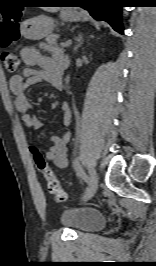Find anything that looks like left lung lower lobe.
Masks as SVG:
<instances>
[{"label": "left lung lower lobe", "mask_w": 156, "mask_h": 266, "mask_svg": "<svg viewBox=\"0 0 156 266\" xmlns=\"http://www.w3.org/2000/svg\"><path fill=\"white\" fill-rule=\"evenodd\" d=\"M74 3L88 10L95 19L109 22L114 30L123 34L120 13L124 0H74Z\"/></svg>", "instance_id": "0a47b994"}]
</instances>
